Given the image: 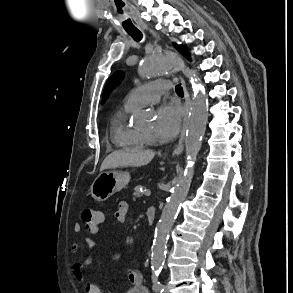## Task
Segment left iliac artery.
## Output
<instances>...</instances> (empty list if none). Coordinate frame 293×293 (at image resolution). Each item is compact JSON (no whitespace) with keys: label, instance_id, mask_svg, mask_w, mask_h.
<instances>
[{"label":"left iliac artery","instance_id":"44dca946","mask_svg":"<svg viewBox=\"0 0 293 293\" xmlns=\"http://www.w3.org/2000/svg\"><path fill=\"white\" fill-rule=\"evenodd\" d=\"M161 272V269H153L152 271V282H153V290L156 293H163L164 286L159 280V274Z\"/></svg>","mask_w":293,"mask_h":293}]
</instances>
